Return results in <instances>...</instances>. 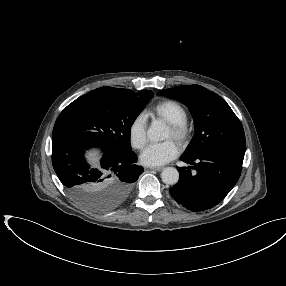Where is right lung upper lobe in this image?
Segmentation results:
<instances>
[{"instance_id": "obj_1", "label": "right lung upper lobe", "mask_w": 286, "mask_h": 286, "mask_svg": "<svg viewBox=\"0 0 286 286\" xmlns=\"http://www.w3.org/2000/svg\"><path fill=\"white\" fill-rule=\"evenodd\" d=\"M123 90H129V89H123ZM129 91H131V90H129ZM143 91H145V90H143ZM143 91H140V92H143Z\"/></svg>"}]
</instances>
